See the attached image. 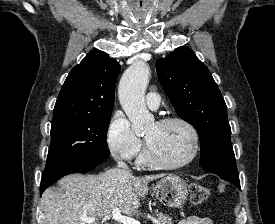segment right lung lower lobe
Returning <instances> with one entry per match:
<instances>
[{"instance_id":"1","label":"right lung lower lobe","mask_w":275,"mask_h":224,"mask_svg":"<svg viewBox=\"0 0 275 224\" xmlns=\"http://www.w3.org/2000/svg\"><path fill=\"white\" fill-rule=\"evenodd\" d=\"M107 158H108V155H99L88 161L65 165L60 168H56L46 172L44 171L42 174L41 185H40L41 194L48 186L57 182L63 176L72 174V173H86L88 171H91Z\"/></svg>"}]
</instances>
